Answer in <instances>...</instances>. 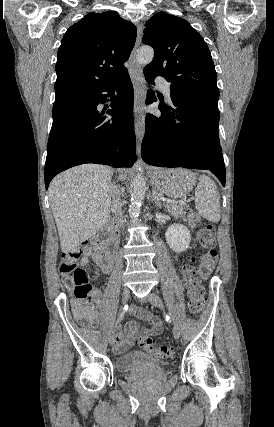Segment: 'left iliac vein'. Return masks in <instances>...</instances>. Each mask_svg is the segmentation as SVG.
I'll list each match as a JSON object with an SVG mask.
<instances>
[{
	"label": "left iliac vein",
	"mask_w": 274,
	"mask_h": 427,
	"mask_svg": "<svg viewBox=\"0 0 274 427\" xmlns=\"http://www.w3.org/2000/svg\"><path fill=\"white\" fill-rule=\"evenodd\" d=\"M145 299L148 300L152 305L158 308L162 309L164 307L161 298L153 292H150ZM173 334L175 339H178L180 337V329L176 324H174V327H173Z\"/></svg>",
	"instance_id": "left-iliac-vein-1"
}]
</instances>
